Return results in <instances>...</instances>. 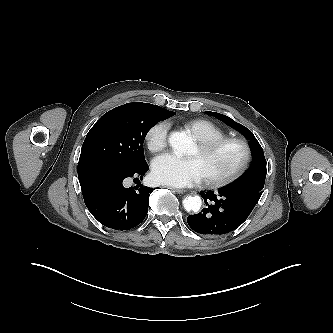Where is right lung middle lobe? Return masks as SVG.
I'll return each instance as SVG.
<instances>
[{"label":"right lung middle lobe","mask_w":333,"mask_h":333,"mask_svg":"<svg viewBox=\"0 0 333 333\" xmlns=\"http://www.w3.org/2000/svg\"><path fill=\"white\" fill-rule=\"evenodd\" d=\"M176 113L159 106L127 103L105 113L90 129L82 146L79 163L111 162L126 168L143 166V143L159 121Z\"/></svg>","instance_id":"dd1d6c3e"}]
</instances>
